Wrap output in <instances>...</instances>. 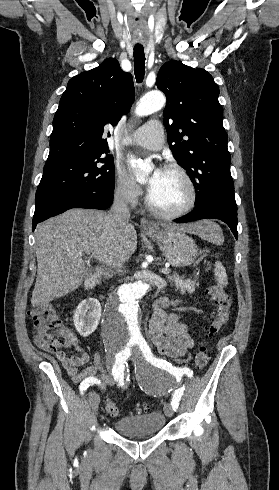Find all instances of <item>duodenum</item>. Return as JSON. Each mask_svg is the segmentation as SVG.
Returning a JSON list of instances; mask_svg holds the SVG:
<instances>
[{"label": "duodenum", "instance_id": "1", "mask_svg": "<svg viewBox=\"0 0 279 490\" xmlns=\"http://www.w3.org/2000/svg\"><path fill=\"white\" fill-rule=\"evenodd\" d=\"M100 275H101V271H100V269H97L92 276H90L89 278L86 279L85 289L87 291H90L91 289L94 288V286L96 285Z\"/></svg>", "mask_w": 279, "mask_h": 490}]
</instances>
